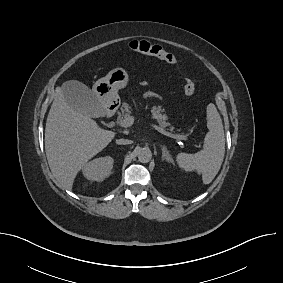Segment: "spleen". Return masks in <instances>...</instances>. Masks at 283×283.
I'll list each match as a JSON object with an SVG mask.
<instances>
[{"label":"spleen","instance_id":"obj_1","mask_svg":"<svg viewBox=\"0 0 283 283\" xmlns=\"http://www.w3.org/2000/svg\"><path fill=\"white\" fill-rule=\"evenodd\" d=\"M208 133L203 149L195 154L179 153L176 161L185 172L197 171L202 174L204 184H209L219 172L225 154V136L221 117L213 103L207 106Z\"/></svg>","mask_w":283,"mask_h":283}]
</instances>
